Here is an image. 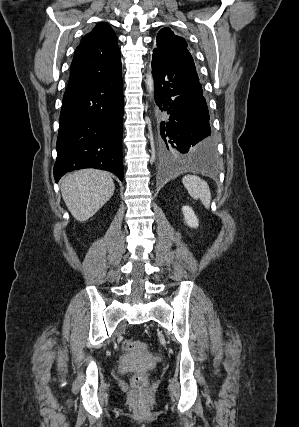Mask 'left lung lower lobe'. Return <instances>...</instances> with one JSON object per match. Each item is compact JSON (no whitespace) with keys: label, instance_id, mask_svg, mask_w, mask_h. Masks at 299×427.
Listing matches in <instances>:
<instances>
[{"label":"left lung lower lobe","instance_id":"0a47b994","mask_svg":"<svg viewBox=\"0 0 299 427\" xmlns=\"http://www.w3.org/2000/svg\"><path fill=\"white\" fill-rule=\"evenodd\" d=\"M155 101L162 113L159 152L166 162L179 160L198 170H216V151L202 85L193 75L186 45L155 48L152 56Z\"/></svg>","mask_w":299,"mask_h":427}]
</instances>
